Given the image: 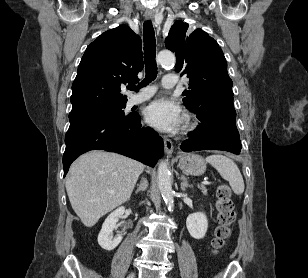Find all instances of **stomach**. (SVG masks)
<instances>
[{
  "label": "stomach",
  "instance_id": "stomach-1",
  "mask_svg": "<svg viewBox=\"0 0 308 278\" xmlns=\"http://www.w3.org/2000/svg\"><path fill=\"white\" fill-rule=\"evenodd\" d=\"M178 166L183 173L194 176L202 175L206 170L204 158L193 153L181 156Z\"/></svg>",
  "mask_w": 308,
  "mask_h": 278
}]
</instances>
